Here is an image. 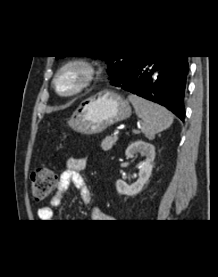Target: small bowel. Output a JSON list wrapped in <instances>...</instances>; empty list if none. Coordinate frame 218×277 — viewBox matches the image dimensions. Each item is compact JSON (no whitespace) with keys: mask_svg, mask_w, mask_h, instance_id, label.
Instances as JSON below:
<instances>
[{"mask_svg":"<svg viewBox=\"0 0 218 277\" xmlns=\"http://www.w3.org/2000/svg\"><path fill=\"white\" fill-rule=\"evenodd\" d=\"M86 166L87 159L85 157H70L67 159L66 168L60 175L57 190L50 201L51 206L60 205L71 184H73L80 191L81 200L85 205H89L91 203V191L81 175V172L86 168ZM51 206H43L37 210L39 220L42 222L52 220L53 210ZM92 217L95 220H103L106 215L95 207L92 212Z\"/></svg>","mask_w":218,"mask_h":277,"instance_id":"small-bowel-1","label":"small bowel"}]
</instances>
